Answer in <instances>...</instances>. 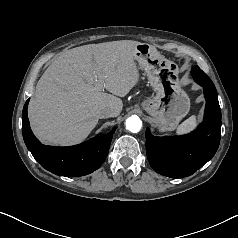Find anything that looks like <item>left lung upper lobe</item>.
Instances as JSON below:
<instances>
[{
    "mask_svg": "<svg viewBox=\"0 0 238 238\" xmlns=\"http://www.w3.org/2000/svg\"><path fill=\"white\" fill-rule=\"evenodd\" d=\"M193 68H194V69H200L198 66H194ZM213 86H214V85H213Z\"/></svg>",
    "mask_w": 238,
    "mask_h": 238,
    "instance_id": "5c2ea615",
    "label": "left lung upper lobe"
}]
</instances>
